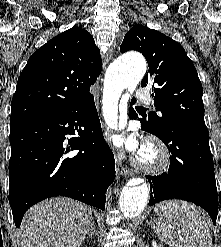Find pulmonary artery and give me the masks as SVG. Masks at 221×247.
<instances>
[{"mask_svg":"<svg viewBox=\"0 0 221 247\" xmlns=\"http://www.w3.org/2000/svg\"><path fill=\"white\" fill-rule=\"evenodd\" d=\"M136 97L142 102H150L151 101V95L147 90L137 91Z\"/></svg>","mask_w":221,"mask_h":247,"instance_id":"e3ab8cb5","label":"pulmonary artery"}]
</instances>
